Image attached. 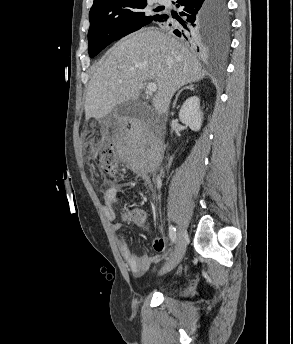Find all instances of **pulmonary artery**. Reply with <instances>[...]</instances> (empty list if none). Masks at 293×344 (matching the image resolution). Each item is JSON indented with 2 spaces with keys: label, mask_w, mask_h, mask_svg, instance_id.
<instances>
[{
  "label": "pulmonary artery",
  "mask_w": 293,
  "mask_h": 344,
  "mask_svg": "<svg viewBox=\"0 0 293 344\" xmlns=\"http://www.w3.org/2000/svg\"><path fill=\"white\" fill-rule=\"evenodd\" d=\"M159 3H161V4H164V3H167L168 2V0H157Z\"/></svg>",
  "instance_id": "1"
}]
</instances>
